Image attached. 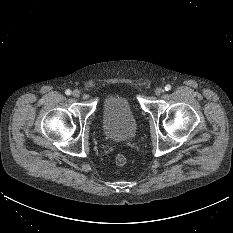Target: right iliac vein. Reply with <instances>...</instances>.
I'll use <instances>...</instances> for the list:
<instances>
[{
    "mask_svg": "<svg viewBox=\"0 0 233 233\" xmlns=\"http://www.w3.org/2000/svg\"><path fill=\"white\" fill-rule=\"evenodd\" d=\"M72 95H73V97H75V98H79L80 95H81V93H80L79 90H74L73 93H72Z\"/></svg>",
    "mask_w": 233,
    "mask_h": 233,
    "instance_id": "1",
    "label": "right iliac vein"
}]
</instances>
